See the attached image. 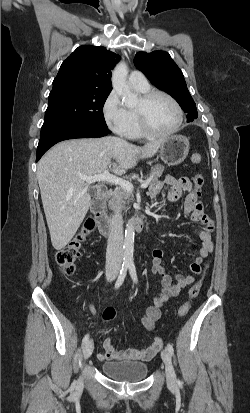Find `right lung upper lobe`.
<instances>
[{
	"label": "right lung upper lobe",
	"instance_id": "1",
	"mask_svg": "<svg viewBox=\"0 0 250 413\" xmlns=\"http://www.w3.org/2000/svg\"><path fill=\"white\" fill-rule=\"evenodd\" d=\"M119 60V55L102 46H80L63 61L53 81V88L76 85L85 89L111 91V70Z\"/></svg>",
	"mask_w": 250,
	"mask_h": 413
}]
</instances>
